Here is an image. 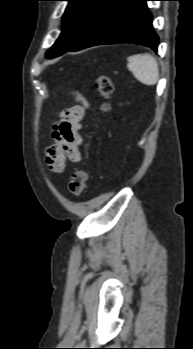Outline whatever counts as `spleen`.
<instances>
[{"label": "spleen", "instance_id": "obj_1", "mask_svg": "<svg viewBox=\"0 0 193 349\" xmlns=\"http://www.w3.org/2000/svg\"><path fill=\"white\" fill-rule=\"evenodd\" d=\"M128 69L143 84L154 85L159 79V67L156 59L149 53L128 57Z\"/></svg>", "mask_w": 193, "mask_h": 349}]
</instances>
